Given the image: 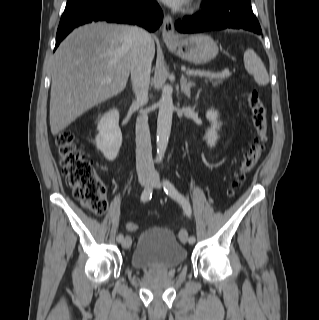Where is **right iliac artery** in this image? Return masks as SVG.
<instances>
[{"instance_id":"82829eb1","label":"right iliac artery","mask_w":319,"mask_h":320,"mask_svg":"<svg viewBox=\"0 0 319 320\" xmlns=\"http://www.w3.org/2000/svg\"><path fill=\"white\" fill-rule=\"evenodd\" d=\"M151 197H152V188L148 186V187H146V188L144 189V191H143L142 194H141V201H142V202H146V201L150 200ZM123 239H124V237H123L122 234H119V235L117 236V241H118V242H122Z\"/></svg>"}]
</instances>
